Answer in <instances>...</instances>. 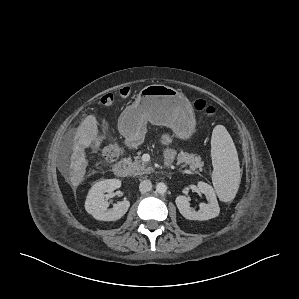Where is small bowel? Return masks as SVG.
Here are the masks:
<instances>
[{
  "label": "small bowel",
  "mask_w": 299,
  "mask_h": 299,
  "mask_svg": "<svg viewBox=\"0 0 299 299\" xmlns=\"http://www.w3.org/2000/svg\"><path fill=\"white\" fill-rule=\"evenodd\" d=\"M170 141L171 140H170L169 135L165 134V135L162 136V142L164 144L168 145L170 143ZM174 156H175V151L172 148L167 149L166 154H165L166 160L168 162H170L174 159Z\"/></svg>",
  "instance_id": "small-bowel-1"
}]
</instances>
